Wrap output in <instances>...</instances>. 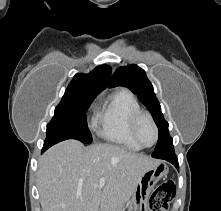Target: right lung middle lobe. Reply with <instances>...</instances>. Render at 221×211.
Returning <instances> with one entry per match:
<instances>
[{"label": "right lung middle lobe", "mask_w": 221, "mask_h": 211, "mask_svg": "<svg viewBox=\"0 0 221 211\" xmlns=\"http://www.w3.org/2000/svg\"><path fill=\"white\" fill-rule=\"evenodd\" d=\"M95 96H79L61 100L55 108V114L47 125L45 146H52L66 139H76L82 143L92 142L87 125L86 112Z\"/></svg>", "instance_id": "obj_1"}]
</instances>
